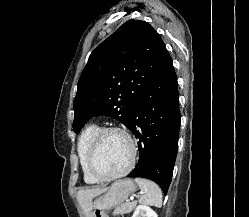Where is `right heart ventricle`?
Here are the masks:
<instances>
[{
    "label": "right heart ventricle",
    "mask_w": 249,
    "mask_h": 217,
    "mask_svg": "<svg viewBox=\"0 0 249 217\" xmlns=\"http://www.w3.org/2000/svg\"><path fill=\"white\" fill-rule=\"evenodd\" d=\"M99 130L100 128L98 125L89 124L81 132L77 143V153H78L80 168L83 174V179L88 184H96L101 182L90 174L87 167V154L89 146L94 136L97 134Z\"/></svg>",
    "instance_id": "right-heart-ventricle-1"
}]
</instances>
